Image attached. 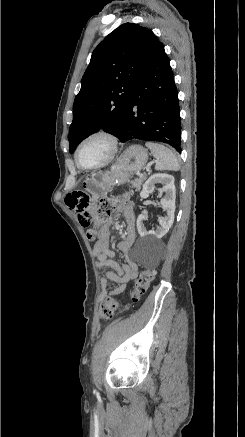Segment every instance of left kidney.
Segmentation results:
<instances>
[{
    "instance_id": "left-kidney-1",
    "label": "left kidney",
    "mask_w": 245,
    "mask_h": 437,
    "mask_svg": "<svg viewBox=\"0 0 245 437\" xmlns=\"http://www.w3.org/2000/svg\"><path fill=\"white\" fill-rule=\"evenodd\" d=\"M156 183L163 184L161 191L165 192L166 195L160 200V204L167 209V216L159 219V226L155 231H148L144 225V220L147 219V215L140 214L137 218V230L141 237L160 239L167 234L174 222L176 189L172 175L165 173L153 174L143 185L140 197L147 198L154 191Z\"/></svg>"
}]
</instances>
